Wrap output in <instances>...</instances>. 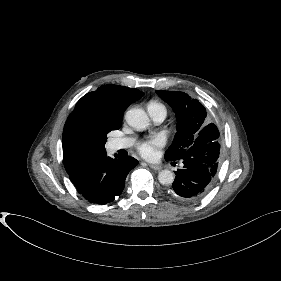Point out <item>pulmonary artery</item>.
<instances>
[{"instance_id": "pulmonary-artery-1", "label": "pulmonary artery", "mask_w": 281, "mask_h": 281, "mask_svg": "<svg viewBox=\"0 0 281 281\" xmlns=\"http://www.w3.org/2000/svg\"><path fill=\"white\" fill-rule=\"evenodd\" d=\"M148 112L152 120L156 123H161L166 117V112L161 109L148 108ZM132 143L133 140L130 138H119L113 141L112 147L114 150L125 149L130 147Z\"/></svg>"}]
</instances>
